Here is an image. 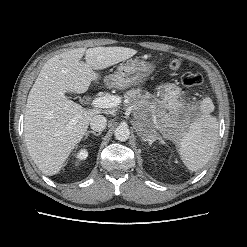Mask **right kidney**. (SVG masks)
Returning <instances> with one entry per match:
<instances>
[{
  "mask_svg": "<svg viewBox=\"0 0 247 247\" xmlns=\"http://www.w3.org/2000/svg\"><path fill=\"white\" fill-rule=\"evenodd\" d=\"M88 156V152L86 149H81L77 154H76V158L78 159V161L84 160L86 159Z\"/></svg>",
  "mask_w": 247,
  "mask_h": 247,
  "instance_id": "ca27d5eb",
  "label": "right kidney"
}]
</instances>
